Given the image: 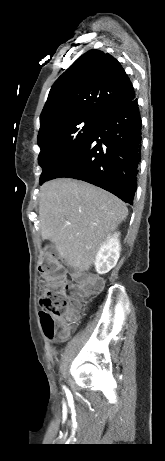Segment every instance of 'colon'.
<instances>
[{"label": "colon", "mask_w": 165, "mask_h": 461, "mask_svg": "<svg viewBox=\"0 0 165 461\" xmlns=\"http://www.w3.org/2000/svg\"><path fill=\"white\" fill-rule=\"evenodd\" d=\"M39 271L43 279L39 312L43 331L48 339L60 340L69 334L71 322L59 324L58 319L62 318L64 313H71L70 309L77 307L78 302L67 297L71 285L66 276V269L53 252L47 251L42 255ZM99 289L100 284L91 279L82 280L80 283V294L84 297Z\"/></svg>", "instance_id": "5ec220e1"}]
</instances>
